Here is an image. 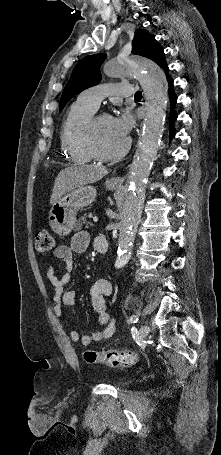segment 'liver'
<instances>
[{"instance_id":"1","label":"liver","mask_w":221,"mask_h":455,"mask_svg":"<svg viewBox=\"0 0 221 455\" xmlns=\"http://www.w3.org/2000/svg\"><path fill=\"white\" fill-rule=\"evenodd\" d=\"M107 173V169L100 164L72 165L62 169L55 180L50 204H54L61 196L79 186L101 180Z\"/></svg>"}]
</instances>
